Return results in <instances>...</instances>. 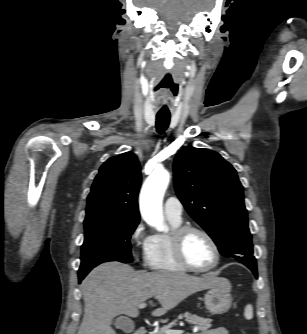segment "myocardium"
Listing matches in <instances>:
<instances>
[{
    "label": "myocardium",
    "instance_id": "obj_1",
    "mask_svg": "<svg viewBox=\"0 0 307 334\" xmlns=\"http://www.w3.org/2000/svg\"><path fill=\"white\" fill-rule=\"evenodd\" d=\"M193 232L202 234L213 247L214 253H215V259H214V262L210 266L197 267L191 264L190 261L188 260L186 253H185L184 245H185V241L188 235ZM170 240H171V247H172V251H173L175 259L186 270L194 271V272H207V271H210L216 268L220 262L221 252H220V248L216 240L207 230L199 226H194V225L179 226L173 229V231L171 232Z\"/></svg>",
    "mask_w": 307,
    "mask_h": 334
}]
</instances>
